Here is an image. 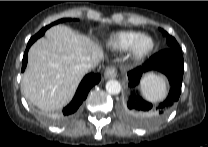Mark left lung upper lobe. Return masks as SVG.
<instances>
[{"instance_id":"left-lung-upper-lobe-1","label":"left lung upper lobe","mask_w":208,"mask_h":147,"mask_svg":"<svg viewBox=\"0 0 208 147\" xmlns=\"http://www.w3.org/2000/svg\"><path fill=\"white\" fill-rule=\"evenodd\" d=\"M160 31L162 32L163 36L166 37V42L168 44V48L175 49L177 51H181L179 44L177 43L176 39L173 36L169 35L163 29H160Z\"/></svg>"}]
</instances>
